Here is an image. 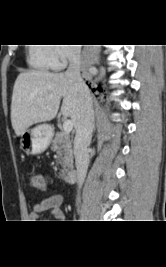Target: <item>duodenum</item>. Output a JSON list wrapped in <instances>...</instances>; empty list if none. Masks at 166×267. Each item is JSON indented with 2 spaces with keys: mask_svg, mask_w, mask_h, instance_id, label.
<instances>
[{
  "mask_svg": "<svg viewBox=\"0 0 166 267\" xmlns=\"http://www.w3.org/2000/svg\"><path fill=\"white\" fill-rule=\"evenodd\" d=\"M76 177H77V171H76V169H70V170H68V171L65 173V180H66L68 183L75 182Z\"/></svg>",
  "mask_w": 166,
  "mask_h": 267,
  "instance_id": "duodenum-1",
  "label": "duodenum"
}]
</instances>
